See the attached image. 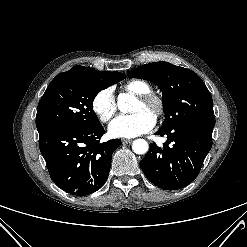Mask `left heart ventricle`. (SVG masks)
<instances>
[{
    "label": "left heart ventricle",
    "instance_id": "b2bd125f",
    "mask_svg": "<svg viewBox=\"0 0 247 247\" xmlns=\"http://www.w3.org/2000/svg\"><path fill=\"white\" fill-rule=\"evenodd\" d=\"M139 110H145L147 112H149L150 114L153 115V109L152 107L150 106H145L143 105L141 102H139L138 100L135 102L133 108H132V111L133 112H136V111H139Z\"/></svg>",
    "mask_w": 247,
    "mask_h": 247
}]
</instances>
